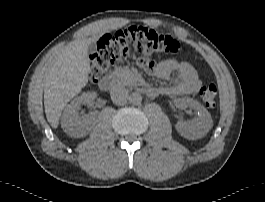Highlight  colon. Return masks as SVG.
Segmentation results:
<instances>
[{
    "instance_id": "colon-1",
    "label": "colon",
    "mask_w": 265,
    "mask_h": 202,
    "mask_svg": "<svg viewBox=\"0 0 265 202\" xmlns=\"http://www.w3.org/2000/svg\"><path fill=\"white\" fill-rule=\"evenodd\" d=\"M180 42L154 29L132 26L100 37L90 55L89 77L93 83L100 81L117 61L136 58L146 69L154 67V57L159 54H177ZM199 97L207 107L216 105L217 88L213 84L203 85Z\"/></svg>"
}]
</instances>
